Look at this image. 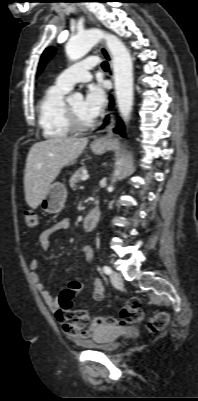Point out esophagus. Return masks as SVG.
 Returning <instances> with one entry per match:
<instances>
[{"mask_svg":"<svg viewBox=\"0 0 198 401\" xmlns=\"http://www.w3.org/2000/svg\"><path fill=\"white\" fill-rule=\"evenodd\" d=\"M81 9L87 14L88 18L92 21L95 22L94 17L92 16L91 13H89L84 7H81ZM100 51L101 54L103 55V57L109 62L110 67H111V72H110V76H113V72H112V57L108 51V49L106 48L104 43H101L100 45ZM113 127H114V114L111 112L110 113V125L107 129V133L102 136L101 138L97 139L96 142L97 143H107L110 138L113 136Z\"/></svg>","mask_w":198,"mask_h":401,"instance_id":"1","label":"esophagus"}]
</instances>
